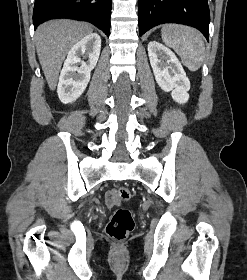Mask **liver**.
Masks as SVG:
<instances>
[{
	"label": "liver",
	"mask_w": 247,
	"mask_h": 280,
	"mask_svg": "<svg viewBox=\"0 0 247 280\" xmlns=\"http://www.w3.org/2000/svg\"><path fill=\"white\" fill-rule=\"evenodd\" d=\"M92 31L93 28L88 23L68 19L51 20L37 28V55L50 90L56 88L67 53Z\"/></svg>",
	"instance_id": "obj_1"
}]
</instances>
